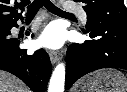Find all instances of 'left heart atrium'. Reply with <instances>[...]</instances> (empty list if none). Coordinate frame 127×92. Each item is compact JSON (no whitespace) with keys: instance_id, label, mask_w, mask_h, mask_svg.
<instances>
[{"instance_id":"1","label":"left heart atrium","mask_w":127,"mask_h":92,"mask_svg":"<svg viewBox=\"0 0 127 92\" xmlns=\"http://www.w3.org/2000/svg\"><path fill=\"white\" fill-rule=\"evenodd\" d=\"M38 42L41 46L57 49L64 42V32L57 24H51L41 33Z\"/></svg>"}]
</instances>
